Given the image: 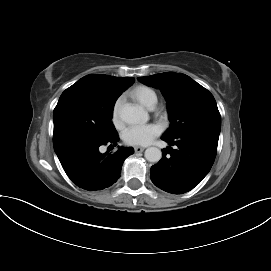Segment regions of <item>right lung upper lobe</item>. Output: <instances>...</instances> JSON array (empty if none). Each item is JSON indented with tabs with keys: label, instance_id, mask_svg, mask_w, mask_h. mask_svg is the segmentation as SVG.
<instances>
[{
	"label": "right lung upper lobe",
	"instance_id": "cb5924a9",
	"mask_svg": "<svg viewBox=\"0 0 271 271\" xmlns=\"http://www.w3.org/2000/svg\"><path fill=\"white\" fill-rule=\"evenodd\" d=\"M90 86L101 91H112L122 93L134 83V78L112 77L109 75L91 74L80 79Z\"/></svg>",
	"mask_w": 271,
	"mask_h": 271
}]
</instances>
